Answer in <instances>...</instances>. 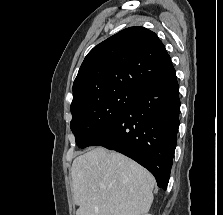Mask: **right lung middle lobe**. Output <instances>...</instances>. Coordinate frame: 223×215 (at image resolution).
<instances>
[{"mask_svg":"<svg viewBox=\"0 0 223 215\" xmlns=\"http://www.w3.org/2000/svg\"><path fill=\"white\" fill-rule=\"evenodd\" d=\"M137 94L117 90L71 108V130L80 148L91 146L121 118Z\"/></svg>","mask_w":223,"mask_h":215,"instance_id":"obj_1","label":"right lung middle lobe"}]
</instances>
